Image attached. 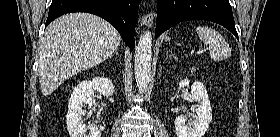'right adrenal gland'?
<instances>
[{
	"label": "right adrenal gland",
	"mask_w": 280,
	"mask_h": 137,
	"mask_svg": "<svg viewBox=\"0 0 280 137\" xmlns=\"http://www.w3.org/2000/svg\"><path fill=\"white\" fill-rule=\"evenodd\" d=\"M113 54H116L118 57H119V52H118V49H116ZM113 54H111L110 56H112Z\"/></svg>",
	"instance_id": "right-adrenal-gland-1"
}]
</instances>
